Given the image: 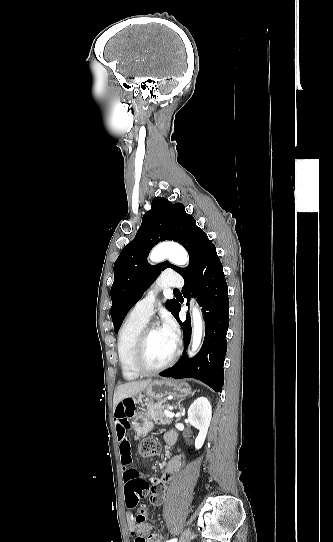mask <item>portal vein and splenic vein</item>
Wrapping results in <instances>:
<instances>
[{
    "mask_svg": "<svg viewBox=\"0 0 333 542\" xmlns=\"http://www.w3.org/2000/svg\"><path fill=\"white\" fill-rule=\"evenodd\" d=\"M164 414L167 416V418H174L175 416V414H173V412H169V410H164Z\"/></svg>",
    "mask_w": 333,
    "mask_h": 542,
    "instance_id": "portal-vein-and-splenic-vein-1",
    "label": "portal vein and splenic vein"
}]
</instances>
